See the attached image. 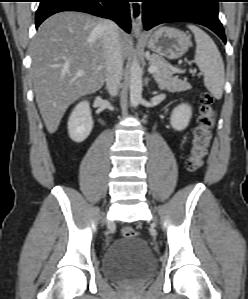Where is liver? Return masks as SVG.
<instances>
[{
	"mask_svg": "<svg viewBox=\"0 0 248 299\" xmlns=\"http://www.w3.org/2000/svg\"><path fill=\"white\" fill-rule=\"evenodd\" d=\"M102 23V19L86 13H57L41 24L32 41L36 102L50 134L57 131L74 101L97 91L105 81ZM119 40L126 57L130 37L119 29Z\"/></svg>",
	"mask_w": 248,
	"mask_h": 299,
	"instance_id": "obj_1",
	"label": "liver"
}]
</instances>
